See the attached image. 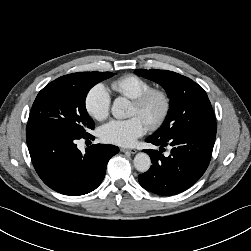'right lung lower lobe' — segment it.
<instances>
[{
    "instance_id": "98d812e1",
    "label": "right lung lower lobe",
    "mask_w": 251,
    "mask_h": 251,
    "mask_svg": "<svg viewBox=\"0 0 251 251\" xmlns=\"http://www.w3.org/2000/svg\"><path fill=\"white\" fill-rule=\"evenodd\" d=\"M77 139L37 126L26 127V141L37 174L51 189L71 196L96 189L109 159L119 152L117 146L96 144L82 154L75 144Z\"/></svg>"
}]
</instances>
